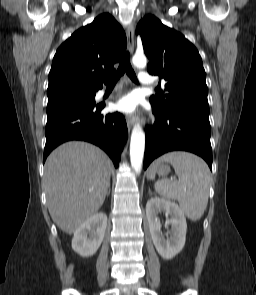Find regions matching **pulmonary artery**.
Masks as SVG:
<instances>
[{
	"label": "pulmonary artery",
	"instance_id": "e3ab8cb5",
	"mask_svg": "<svg viewBox=\"0 0 256 295\" xmlns=\"http://www.w3.org/2000/svg\"><path fill=\"white\" fill-rule=\"evenodd\" d=\"M139 81L141 84H145V85H150V84H153L154 82L151 76L149 75V73L144 71L139 73ZM103 93L104 91H101V94Z\"/></svg>",
	"mask_w": 256,
	"mask_h": 295
}]
</instances>
